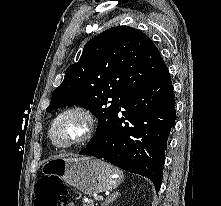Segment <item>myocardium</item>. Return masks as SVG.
Here are the masks:
<instances>
[{
	"instance_id": "myocardium-1",
	"label": "myocardium",
	"mask_w": 221,
	"mask_h": 206,
	"mask_svg": "<svg viewBox=\"0 0 221 206\" xmlns=\"http://www.w3.org/2000/svg\"><path fill=\"white\" fill-rule=\"evenodd\" d=\"M76 117L81 121L82 127L80 132L65 142H57L53 137V131L56 126L65 119ZM95 131V119L90 110L81 105H74L57 113L51 120L47 137L50 143L59 149H69L86 144L90 141Z\"/></svg>"
}]
</instances>
